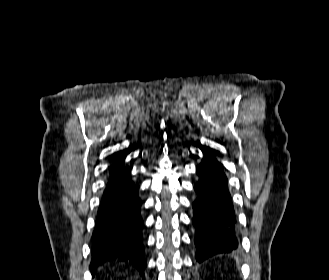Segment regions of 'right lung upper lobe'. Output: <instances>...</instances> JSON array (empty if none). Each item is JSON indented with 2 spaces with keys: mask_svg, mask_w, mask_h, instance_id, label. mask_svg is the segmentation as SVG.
Wrapping results in <instances>:
<instances>
[{
  "mask_svg": "<svg viewBox=\"0 0 329 280\" xmlns=\"http://www.w3.org/2000/svg\"><path fill=\"white\" fill-rule=\"evenodd\" d=\"M126 154H127V153H125V154L117 153V154L115 155V160H123V159L125 158Z\"/></svg>",
  "mask_w": 329,
  "mask_h": 280,
  "instance_id": "1",
  "label": "right lung upper lobe"
}]
</instances>
